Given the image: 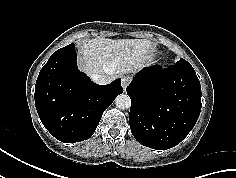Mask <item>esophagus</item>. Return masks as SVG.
I'll use <instances>...</instances> for the list:
<instances>
[{
    "mask_svg": "<svg viewBox=\"0 0 236 178\" xmlns=\"http://www.w3.org/2000/svg\"><path fill=\"white\" fill-rule=\"evenodd\" d=\"M129 83H130V79H129V78L123 77V78L121 79V85H122L124 91H126V88H127V86L129 85Z\"/></svg>",
    "mask_w": 236,
    "mask_h": 178,
    "instance_id": "obj_1",
    "label": "esophagus"
}]
</instances>
